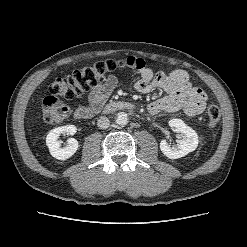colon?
Wrapping results in <instances>:
<instances>
[{
  "instance_id": "1",
  "label": "colon",
  "mask_w": 247,
  "mask_h": 247,
  "mask_svg": "<svg viewBox=\"0 0 247 247\" xmlns=\"http://www.w3.org/2000/svg\"><path fill=\"white\" fill-rule=\"evenodd\" d=\"M129 59H108L93 63L74 71L67 76L58 77L50 87V94L42 99L43 118L48 123H58L69 117L71 109L59 98L72 99L106 81L114 72L130 67ZM221 119L220 109L211 105L206 112L209 127L218 125Z\"/></svg>"
}]
</instances>
